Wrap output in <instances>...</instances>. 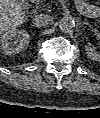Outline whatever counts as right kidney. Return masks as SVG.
Instances as JSON below:
<instances>
[{"label":"right kidney","mask_w":100,"mask_h":118,"mask_svg":"<svg viewBox=\"0 0 100 118\" xmlns=\"http://www.w3.org/2000/svg\"><path fill=\"white\" fill-rule=\"evenodd\" d=\"M30 36L25 30L11 29L1 33L0 50L5 55H15L27 49Z\"/></svg>","instance_id":"right-kidney-1"}]
</instances>
